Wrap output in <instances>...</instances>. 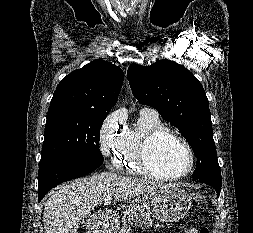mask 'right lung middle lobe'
<instances>
[{
    "mask_svg": "<svg viewBox=\"0 0 253 233\" xmlns=\"http://www.w3.org/2000/svg\"><path fill=\"white\" fill-rule=\"evenodd\" d=\"M107 114L81 107H49L40 164L53 159L103 162L99 133Z\"/></svg>",
    "mask_w": 253,
    "mask_h": 233,
    "instance_id": "right-lung-middle-lobe-1",
    "label": "right lung middle lobe"
}]
</instances>
